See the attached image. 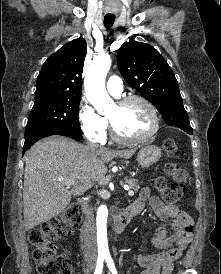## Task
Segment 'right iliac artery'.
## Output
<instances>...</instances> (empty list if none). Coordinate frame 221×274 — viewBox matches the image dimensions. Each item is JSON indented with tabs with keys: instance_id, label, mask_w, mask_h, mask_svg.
<instances>
[{
	"instance_id": "obj_1",
	"label": "right iliac artery",
	"mask_w": 221,
	"mask_h": 274,
	"mask_svg": "<svg viewBox=\"0 0 221 274\" xmlns=\"http://www.w3.org/2000/svg\"><path fill=\"white\" fill-rule=\"evenodd\" d=\"M104 259H105L104 256H98L96 269L94 271V274H102Z\"/></svg>"
}]
</instances>
